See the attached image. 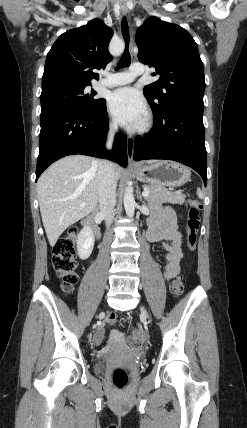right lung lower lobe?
<instances>
[{"label":"right lung lower lobe","mask_w":247,"mask_h":428,"mask_svg":"<svg viewBox=\"0 0 247 428\" xmlns=\"http://www.w3.org/2000/svg\"><path fill=\"white\" fill-rule=\"evenodd\" d=\"M107 130L106 102L93 114L66 109L41 113L36 181L50 164L72 154L107 158L126 166L128 157L125 135L117 134L113 150L108 152L104 149Z\"/></svg>","instance_id":"1"}]
</instances>
